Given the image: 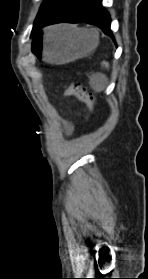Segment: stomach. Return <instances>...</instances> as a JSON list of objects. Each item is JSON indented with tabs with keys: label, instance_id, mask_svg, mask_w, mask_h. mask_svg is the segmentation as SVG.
Here are the masks:
<instances>
[{
	"label": "stomach",
	"instance_id": "stomach-1",
	"mask_svg": "<svg viewBox=\"0 0 148 279\" xmlns=\"http://www.w3.org/2000/svg\"><path fill=\"white\" fill-rule=\"evenodd\" d=\"M37 44H31V55L39 63H65L90 54L98 45L96 33L84 34L66 26L53 28L47 34H37ZM43 39V40H42Z\"/></svg>",
	"mask_w": 148,
	"mask_h": 279
}]
</instances>
